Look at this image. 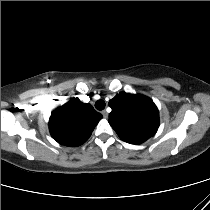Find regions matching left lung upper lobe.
Wrapping results in <instances>:
<instances>
[{
  "label": "left lung upper lobe",
  "mask_w": 210,
  "mask_h": 210,
  "mask_svg": "<svg viewBox=\"0 0 210 210\" xmlns=\"http://www.w3.org/2000/svg\"><path fill=\"white\" fill-rule=\"evenodd\" d=\"M109 106V123L123 141L140 144L156 134L159 114L149 98L122 92L109 101Z\"/></svg>",
  "instance_id": "obj_1"
}]
</instances>
